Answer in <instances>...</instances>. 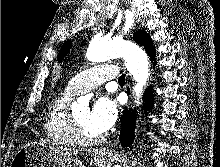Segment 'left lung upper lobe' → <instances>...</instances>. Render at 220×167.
<instances>
[{"mask_svg": "<svg viewBox=\"0 0 220 167\" xmlns=\"http://www.w3.org/2000/svg\"><path fill=\"white\" fill-rule=\"evenodd\" d=\"M133 39L140 43L141 45H143L146 49V51L148 52L149 55L154 54L155 49L152 45V41L150 39V36L145 32V31H141L139 30L138 32H135V35L133 36ZM71 43L70 42H66L62 48L59 51V54L57 56V61L61 62L64 57L67 55V53L69 52L70 48H71Z\"/></svg>", "mask_w": 220, "mask_h": 167, "instance_id": "1", "label": "left lung upper lobe"}]
</instances>
